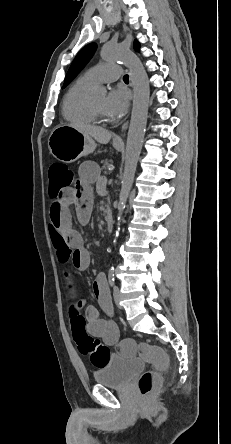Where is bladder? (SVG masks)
Returning <instances> with one entry per match:
<instances>
[{
	"mask_svg": "<svg viewBox=\"0 0 231 444\" xmlns=\"http://www.w3.org/2000/svg\"><path fill=\"white\" fill-rule=\"evenodd\" d=\"M143 367V362L137 358L125 359L113 354L99 370L94 372V379L98 385L121 388L140 373Z\"/></svg>",
	"mask_w": 231,
	"mask_h": 444,
	"instance_id": "31cf9c89",
	"label": "bladder"
}]
</instances>
